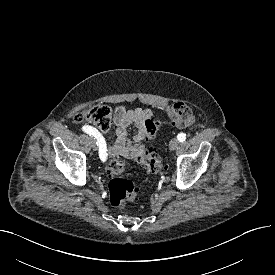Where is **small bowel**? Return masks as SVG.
<instances>
[{"label":"small bowel","instance_id":"obj_1","mask_svg":"<svg viewBox=\"0 0 275 275\" xmlns=\"http://www.w3.org/2000/svg\"><path fill=\"white\" fill-rule=\"evenodd\" d=\"M150 119H153L150 109L129 110L124 106L117 107L114 114V143L111 146H106V157L113 160L119 156L128 159L137 157L143 150L142 142L149 138L146 123ZM131 125L137 129L132 142L127 138V130Z\"/></svg>","mask_w":275,"mask_h":275}]
</instances>
